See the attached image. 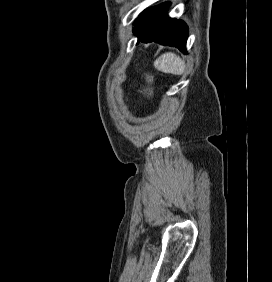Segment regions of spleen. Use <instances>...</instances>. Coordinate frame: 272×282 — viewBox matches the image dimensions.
Masks as SVG:
<instances>
[{"instance_id":"1","label":"spleen","mask_w":272,"mask_h":282,"mask_svg":"<svg viewBox=\"0 0 272 282\" xmlns=\"http://www.w3.org/2000/svg\"><path fill=\"white\" fill-rule=\"evenodd\" d=\"M154 67L163 73L182 75L185 72V62L174 53H165L154 61Z\"/></svg>"}]
</instances>
